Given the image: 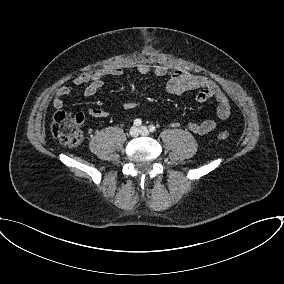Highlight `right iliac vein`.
<instances>
[{
    "instance_id": "obj_1",
    "label": "right iliac vein",
    "mask_w": 284,
    "mask_h": 284,
    "mask_svg": "<svg viewBox=\"0 0 284 284\" xmlns=\"http://www.w3.org/2000/svg\"><path fill=\"white\" fill-rule=\"evenodd\" d=\"M129 133L132 137H136L139 134V129L136 126H133L131 127Z\"/></svg>"
}]
</instances>
